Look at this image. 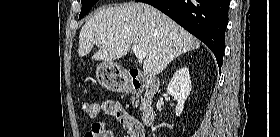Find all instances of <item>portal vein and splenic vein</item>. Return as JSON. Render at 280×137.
<instances>
[{
  "mask_svg": "<svg viewBox=\"0 0 280 137\" xmlns=\"http://www.w3.org/2000/svg\"><path fill=\"white\" fill-rule=\"evenodd\" d=\"M132 51L134 52L135 57L138 60H143L145 58V56H146V54L143 52L141 47L139 45H137V44H133L132 45Z\"/></svg>",
  "mask_w": 280,
  "mask_h": 137,
  "instance_id": "18ae733b",
  "label": "portal vein and splenic vein"
}]
</instances>
